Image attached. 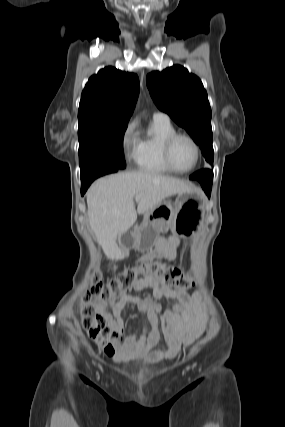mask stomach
<instances>
[{"label": "stomach", "instance_id": "1", "mask_svg": "<svg viewBox=\"0 0 285 427\" xmlns=\"http://www.w3.org/2000/svg\"><path fill=\"white\" fill-rule=\"evenodd\" d=\"M206 201L201 192L179 193L174 201H165L144 215L134 230L130 246L138 250L151 248L160 233L171 231L180 237L195 235L204 224Z\"/></svg>", "mask_w": 285, "mask_h": 427}]
</instances>
